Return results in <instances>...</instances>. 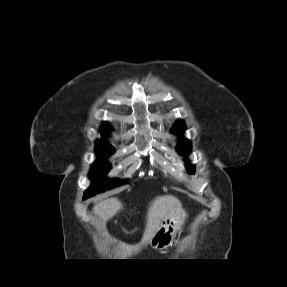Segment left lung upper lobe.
Here are the masks:
<instances>
[{
    "instance_id": "left-lung-upper-lobe-1",
    "label": "left lung upper lobe",
    "mask_w": 287,
    "mask_h": 287,
    "mask_svg": "<svg viewBox=\"0 0 287 287\" xmlns=\"http://www.w3.org/2000/svg\"><path fill=\"white\" fill-rule=\"evenodd\" d=\"M184 128H185V125H184V122L183 121H177L171 131L174 132V133H181L184 131ZM177 150L179 153L181 154H188L191 150V145H190V142L187 140V139H183L179 145L177 146ZM187 169H188V172L189 173H193L194 172V166L191 165V164H188L186 165Z\"/></svg>"
}]
</instances>
